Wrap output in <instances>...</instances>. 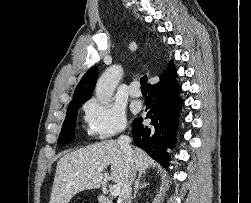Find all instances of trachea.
Segmentation results:
<instances>
[{"label":"trachea","instance_id":"trachea-1","mask_svg":"<svg viewBox=\"0 0 251 203\" xmlns=\"http://www.w3.org/2000/svg\"><path fill=\"white\" fill-rule=\"evenodd\" d=\"M147 76L144 75L141 79H140V84H141V90H147Z\"/></svg>","mask_w":251,"mask_h":203}]
</instances>
